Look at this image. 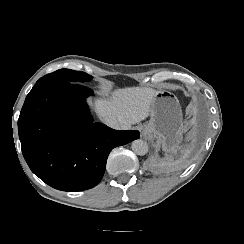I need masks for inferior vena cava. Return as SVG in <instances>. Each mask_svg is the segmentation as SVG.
<instances>
[{
  "label": "inferior vena cava",
  "mask_w": 244,
  "mask_h": 244,
  "mask_svg": "<svg viewBox=\"0 0 244 244\" xmlns=\"http://www.w3.org/2000/svg\"><path fill=\"white\" fill-rule=\"evenodd\" d=\"M103 120H104L105 124H107L111 128H114V129H122V130L129 129V127L127 126V124L120 123L115 118L103 117Z\"/></svg>",
  "instance_id": "inferior-vena-cava-1"
}]
</instances>
